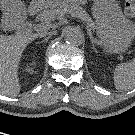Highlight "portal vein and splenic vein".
<instances>
[{
  "mask_svg": "<svg viewBox=\"0 0 135 135\" xmlns=\"http://www.w3.org/2000/svg\"><path fill=\"white\" fill-rule=\"evenodd\" d=\"M48 29V24H39L37 27H36V30L37 31H44Z\"/></svg>",
  "mask_w": 135,
  "mask_h": 135,
  "instance_id": "18ae733b",
  "label": "portal vein and splenic vein"
}]
</instances>
